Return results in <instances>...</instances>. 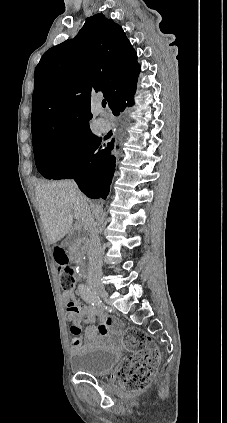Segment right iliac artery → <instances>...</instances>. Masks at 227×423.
Returning <instances> with one entry per match:
<instances>
[{"instance_id":"right-iliac-artery-1","label":"right iliac artery","mask_w":227,"mask_h":423,"mask_svg":"<svg viewBox=\"0 0 227 423\" xmlns=\"http://www.w3.org/2000/svg\"><path fill=\"white\" fill-rule=\"evenodd\" d=\"M83 299L91 305L101 306L102 301L97 293L92 292L85 285L80 288Z\"/></svg>"}]
</instances>
